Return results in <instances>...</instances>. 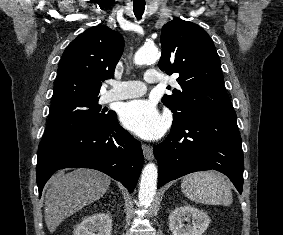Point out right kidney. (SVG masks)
<instances>
[{
    "instance_id": "ca27d5eb",
    "label": "right kidney",
    "mask_w": 283,
    "mask_h": 235,
    "mask_svg": "<svg viewBox=\"0 0 283 235\" xmlns=\"http://www.w3.org/2000/svg\"><path fill=\"white\" fill-rule=\"evenodd\" d=\"M112 219L108 214L96 213L87 216L74 229L73 235H111Z\"/></svg>"
}]
</instances>
